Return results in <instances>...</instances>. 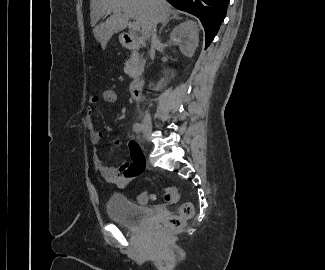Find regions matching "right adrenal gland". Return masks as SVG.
I'll return each mask as SVG.
<instances>
[{"label": "right adrenal gland", "mask_w": 325, "mask_h": 270, "mask_svg": "<svg viewBox=\"0 0 325 270\" xmlns=\"http://www.w3.org/2000/svg\"><path fill=\"white\" fill-rule=\"evenodd\" d=\"M172 19H181L178 15L174 14L172 17H170L169 19L165 20L159 30V35L161 34L162 29L168 24V22Z\"/></svg>", "instance_id": "obj_1"}]
</instances>
